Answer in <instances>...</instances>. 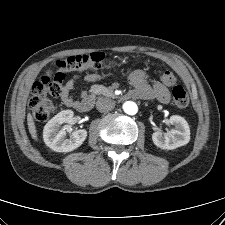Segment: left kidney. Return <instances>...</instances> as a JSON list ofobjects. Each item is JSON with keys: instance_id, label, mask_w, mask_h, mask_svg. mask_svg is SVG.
<instances>
[{"instance_id": "5707ae66", "label": "left kidney", "mask_w": 225, "mask_h": 225, "mask_svg": "<svg viewBox=\"0 0 225 225\" xmlns=\"http://www.w3.org/2000/svg\"><path fill=\"white\" fill-rule=\"evenodd\" d=\"M169 123L175 128L165 134L160 131L154 132L152 134L153 143L157 147L167 150L186 145L190 140V129L187 121L181 116L173 115L170 117Z\"/></svg>"}]
</instances>
